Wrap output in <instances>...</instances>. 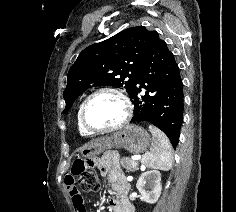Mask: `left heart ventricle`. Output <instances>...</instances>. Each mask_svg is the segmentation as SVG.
Listing matches in <instances>:
<instances>
[{"label": "left heart ventricle", "mask_w": 236, "mask_h": 212, "mask_svg": "<svg viewBox=\"0 0 236 212\" xmlns=\"http://www.w3.org/2000/svg\"><path fill=\"white\" fill-rule=\"evenodd\" d=\"M124 115L122 101L114 94L102 93L95 96L86 109L87 123L95 129L116 125Z\"/></svg>", "instance_id": "left-heart-ventricle-1"}]
</instances>
